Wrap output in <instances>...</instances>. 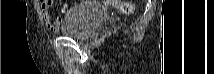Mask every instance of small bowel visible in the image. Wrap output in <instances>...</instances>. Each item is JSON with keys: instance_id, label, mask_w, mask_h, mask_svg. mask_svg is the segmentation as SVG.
I'll return each instance as SVG.
<instances>
[{"instance_id": "1", "label": "small bowel", "mask_w": 214, "mask_h": 74, "mask_svg": "<svg viewBox=\"0 0 214 74\" xmlns=\"http://www.w3.org/2000/svg\"><path fill=\"white\" fill-rule=\"evenodd\" d=\"M52 1L50 0H42L41 1V10H42V15L44 18V21L47 25V28L52 31V32H57L59 31V26L61 23V18L57 17V18H52L50 15V6H51ZM68 11V6L66 4H64L61 7V12L62 13H66Z\"/></svg>"}]
</instances>
